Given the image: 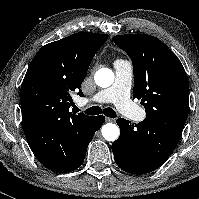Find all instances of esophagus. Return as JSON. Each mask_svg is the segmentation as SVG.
<instances>
[{
    "label": "esophagus",
    "instance_id": "esophagus-1",
    "mask_svg": "<svg viewBox=\"0 0 199 199\" xmlns=\"http://www.w3.org/2000/svg\"><path fill=\"white\" fill-rule=\"evenodd\" d=\"M106 122H114V119H112V118H109V117H106Z\"/></svg>",
    "mask_w": 199,
    "mask_h": 199
}]
</instances>
